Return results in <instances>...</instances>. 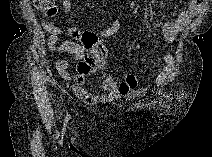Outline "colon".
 <instances>
[{"label":"colon","instance_id":"1","mask_svg":"<svg viewBox=\"0 0 212 157\" xmlns=\"http://www.w3.org/2000/svg\"><path fill=\"white\" fill-rule=\"evenodd\" d=\"M34 6L49 18H54L57 14L53 1L36 0ZM72 34L76 38H81L86 47V56L78 66L79 75L76 77L77 82L82 83L84 76L91 75L107 67L108 50L92 33H81L78 29H73Z\"/></svg>","mask_w":212,"mask_h":157}]
</instances>
